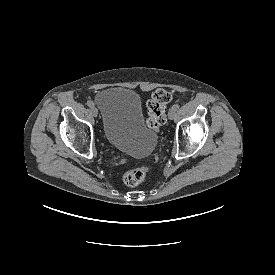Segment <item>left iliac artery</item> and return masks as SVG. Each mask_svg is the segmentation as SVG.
Instances as JSON below:
<instances>
[{"label": "left iliac artery", "instance_id": "obj_1", "mask_svg": "<svg viewBox=\"0 0 275 275\" xmlns=\"http://www.w3.org/2000/svg\"><path fill=\"white\" fill-rule=\"evenodd\" d=\"M179 107H180V106H179L178 104H175V105H173V106H172V109H174V110H178V109H179Z\"/></svg>", "mask_w": 275, "mask_h": 275}]
</instances>
